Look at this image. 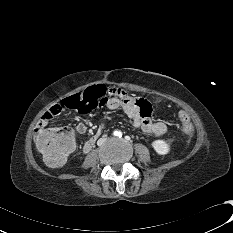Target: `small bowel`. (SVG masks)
Instances as JSON below:
<instances>
[{
  "instance_id": "small-bowel-1",
  "label": "small bowel",
  "mask_w": 233,
  "mask_h": 233,
  "mask_svg": "<svg viewBox=\"0 0 233 233\" xmlns=\"http://www.w3.org/2000/svg\"><path fill=\"white\" fill-rule=\"evenodd\" d=\"M100 108H108L110 110H122L130 119L133 126L141 128L148 136L160 138L167 132V125L162 121L153 120L150 117L154 114V106L142 97H136L128 91L111 86L98 101ZM63 101L51 106L41 116L37 123L36 130L45 129L47 124L64 110ZM86 113V112H84ZM86 131L84 123H79L76 132L83 134ZM99 138V134H95L87 140L83 146V152H89Z\"/></svg>"
}]
</instances>
